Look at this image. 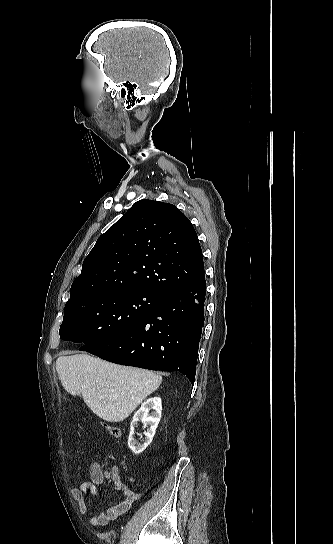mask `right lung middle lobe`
<instances>
[{
	"label": "right lung middle lobe",
	"instance_id": "dd1d6c3e",
	"mask_svg": "<svg viewBox=\"0 0 333 544\" xmlns=\"http://www.w3.org/2000/svg\"><path fill=\"white\" fill-rule=\"evenodd\" d=\"M160 296L145 292H104L65 305L60 327L62 340L82 343L80 350L116 336L144 318Z\"/></svg>",
	"mask_w": 333,
	"mask_h": 544
}]
</instances>
